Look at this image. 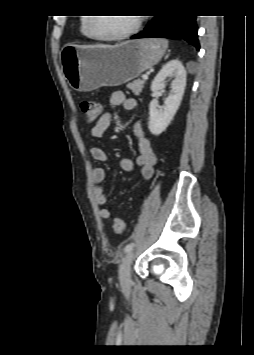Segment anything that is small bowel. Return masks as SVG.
Instances as JSON below:
<instances>
[{
	"instance_id": "small-bowel-1",
	"label": "small bowel",
	"mask_w": 254,
	"mask_h": 355,
	"mask_svg": "<svg viewBox=\"0 0 254 355\" xmlns=\"http://www.w3.org/2000/svg\"><path fill=\"white\" fill-rule=\"evenodd\" d=\"M110 103L114 106H123L126 110L132 111L136 108L137 102L133 98H127L122 91H115L111 94ZM111 123V115L104 113L98 121L90 129V137L93 140H98L104 134ZM133 134L138 141L139 154L135 157H123L120 159L119 165L124 171H132L136 165L140 167V173L143 180L148 181L153 177L157 156L154 152L152 142L147 137L141 123L136 122L133 125ZM92 157L101 162L108 160L107 154L102 148L94 145L91 148ZM106 170L102 167H94L92 169V180L95 185L93 187V196L98 205L103 206L108 202V196L103 186L99 183L106 179ZM99 215L102 219H109L111 213L108 209H101Z\"/></svg>"
}]
</instances>
